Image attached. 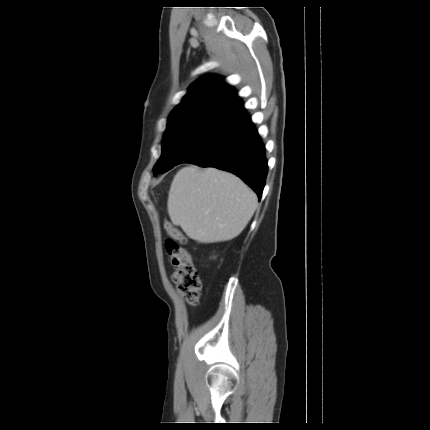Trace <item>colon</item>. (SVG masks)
I'll list each match as a JSON object with an SVG mask.
<instances>
[{
    "label": "colon",
    "instance_id": "1",
    "mask_svg": "<svg viewBox=\"0 0 430 430\" xmlns=\"http://www.w3.org/2000/svg\"><path fill=\"white\" fill-rule=\"evenodd\" d=\"M165 230L169 238L165 241V249L170 263L174 267L172 280L191 305L199 302L202 284L194 266L190 252L183 246L187 240L183 233L174 225L166 224Z\"/></svg>",
    "mask_w": 430,
    "mask_h": 430
}]
</instances>
